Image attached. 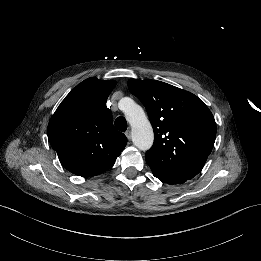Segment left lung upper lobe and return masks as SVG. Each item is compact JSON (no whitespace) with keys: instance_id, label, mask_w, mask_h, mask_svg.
I'll return each mask as SVG.
<instances>
[{"instance_id":"left-lung-upper-lobe-1","label":"left lung upper lobe","mask_w":261,"mask_h":261,"mask_svg":"<svg viewBox=\"0 0 261 261\" xmlns=\"http://www.w3.org/2000/svg\"><path fill=\"white\" fill-rule=\"evenodd\" d=\"M129 90L145 106L154 130L146 152L151 169L192 179L211 153L216 124L208 107L194 94L156 80L129 79Z\"/></svg>"}]
</instances>
